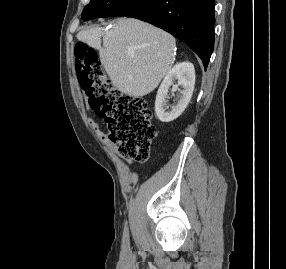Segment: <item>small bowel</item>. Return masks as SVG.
Listing matches in <instances>:
<instances>
[{
	"label": "small bowel",
	"mask_w": 286,
	"mask_h": 269,
	"mask_svg": "<svg viewBox=\"0 0 286 269\" xmlns=\"http://www.w3.org/2000/svg\"><path fill=\"white\" fill-rule=\"evenodd\" d=\"M104 141L107 143V140H106V139H104ZM112 149L116 151V148H115V147H112ZM125 161H126L129 165H133V161H132V160H130V159H128V158H125Z\"/></svg>",
	"instance_id": "obj_1"
}]
</instances>
